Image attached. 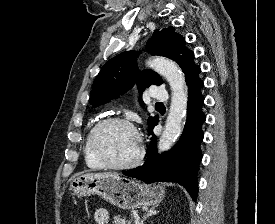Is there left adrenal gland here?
I'll use <instances>...</instances> for the list:
<instances>
[{
  "instance_id": "a2214340",
  "label": "left adrenal gland",
  "mask_w": 275,
  "mask_h": 224,
  "mask_svg": "<svg viewBox=\"0 0 275 224\" xmlns=\"http://www.w3.org/2000/svg\"><path fill=\"white\" fill-rule=\"evenodd\" d=\"M158 212H159V211H156V210H155V207L150 208V209L147 211V213L143 216V218L140 220V222H139L138 224H143L144 221H146V219H147L148 217H151L152 215H156Z\"/></svg>"
}]
</instances>
